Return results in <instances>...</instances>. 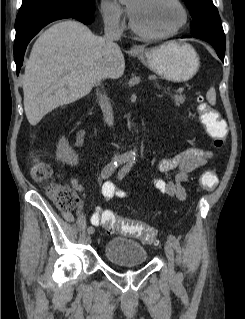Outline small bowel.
<instances>
[{"label":"small bowel","instance_id":"c3829d8e","mask_svg":"<svg viewBox=\"0 0 245 319\" xmlns=\"http://www.w3.org/2000/svg\"><path fill=\"white\" fill-rule=\"evenodd\" d=\"M210 157V153L198 148H188L177 154L161 159L158 164V170L163 174V178L155 177L151 179V184L162 194L179 201L185 200L187 196L184 183L188 180L191 173L204 166ZM73 188L83 193L82 185L77 181H72ZM108 190L104 197L109 200L112 198L127 199L128 193L117 188L112 182H108ZM103 193V192H102ZM104 210L96 207L91 222L98 226ZM63 217L68 221H73L74 217L69 212H63Z\"/></svg>","mask_w":245,"mask_h":319}]
</instances>
